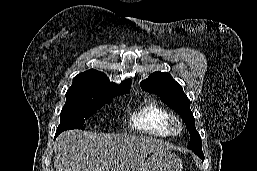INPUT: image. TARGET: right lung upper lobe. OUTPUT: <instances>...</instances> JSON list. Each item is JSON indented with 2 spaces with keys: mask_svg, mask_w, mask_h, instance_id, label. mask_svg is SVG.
Wrapping results in <instances>:
<instances>
[{
  "mask_svg": "<svg viewBox=\"0 0 257 171\" xmlns=\"http://www.w3.org/2000/svg\"><path fill=\"white\" fill-rule=\"evenodd\" d=\"M131 80L123 81L119 86L110 82L108 77L97 70L90 69L82 72L73 78V83L69 89H92L109 91L116 94L128 93Z\"/></svg>",
  "mask_w": 257,
  "mask_h": 171,
  "instance_id": "cb5924a9",
  "label": "right lung upper lobe"
}]
</instances>
